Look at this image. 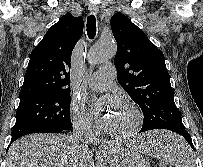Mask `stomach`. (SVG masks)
I'll use <instances>...</instances> for the list:
<instances>
[{"mask_svg": "<svg viewBox=\"0 0 203 167\" xmlns=\"http://www.w3.org/2000/svg\"><path fill=\"white\" fill-rule=\"evenodd\" d=\"M138 138L137 142H140V147L128 146L127 148L118 147L112 154V167H150L147 160H145L140 152L143 150V143L147 139Z\"/></svg>", "mask_w": 203, "mask_h": 167, "instance_id": "1", "label": "stomach"}]
</instances>
